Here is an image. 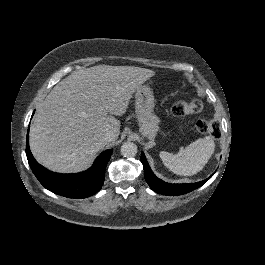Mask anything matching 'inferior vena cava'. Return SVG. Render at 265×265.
Returning a JSON list of instances; mask_svg holds the SVG:
<instances>
[{"mask_svg": "<svg viewBox=\"0 0 265 265\" xmlns=\"http://www.w3.org/2000/svg\"><path fill=\"white\" fill-rule=\"evenodd\" d=\"M104 137L107 141H111L114 138V133L112 130H106Z\"/></svg>", "mask_w": 265, "mask_h": 265, "instance_id": "1", "label": "inferior vena cava"}]
</instances>
